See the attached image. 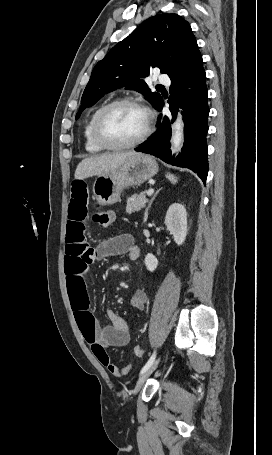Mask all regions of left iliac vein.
Instances as JSON below:
<instances>
[{
    "label": "left iliac vein",
    "mask_w": 272,
    "mask_h": 455,
    "mask_svg": "<svg viewBox=\"0 0 272 455\" xmlns=\"http://www.w3.org/2000/svg\"><path fill=\"white\" fill-rule=\"evenodd\" d=\"M159 362H160V357L158 359H156L153 362V364L143 374H141V376L139 377V379H138V381L136 383V386H135V389H134V393H138L140 391V389L144 385V383L147 380V378L152 374V372L158 366Z\"/></svg>",
    "instance_id": "1"
}]
</instances>
